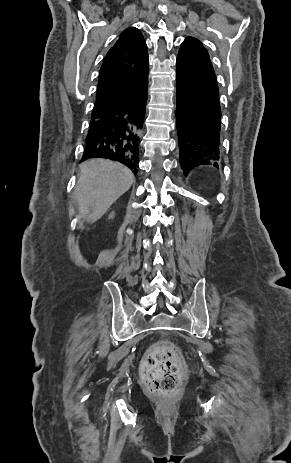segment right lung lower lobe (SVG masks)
I'll use <instances>...</instances> for the list:
<instances>
[{"label": "right lung lower lobe", "mask_w": 291, "mask_h": 463, "mask_svg": "<svg viewBox=\"0 0 291 463\" xmlns=\"http://www.w3.org/2000/svg\"><path fill=\"white\" fill-rule=\"evenodd\" d=\"M148 80L125 102L99 120L91 121L82 160L107 158L138 172L140 134L146 110Z\"/></svg>", "instance_id": "98d812e1"}]
</instances>
